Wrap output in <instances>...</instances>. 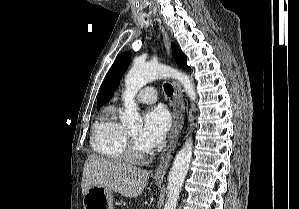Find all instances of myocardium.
Masks as SVG:
<instances>
[{
  "label": "myocardium",
  "mask_w": 299,
  "mask_h": 209,
  "mask_svg": "<svg viewBox=\"0 0 299 209\" xmlns=\"http://www.w3.org/2000/svg\"><path fill=\"white\" fill-rule=\"evenodd\" d=\"M126 156L134 163H142L149 157V152L140 150L133 138L126 132Z\"/></svg>",
  "instance_id": "f54148a6"
}]
</instances>
